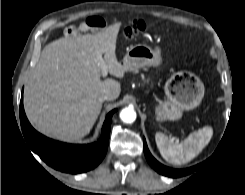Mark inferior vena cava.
<instances>
[{
    "instance_id": "inferior-vena-cava-1",
    "label": "inferior vena cava",
    "mask_w": 245,
    "mask_h": 195,
    "mask_svg": "<svg viewBox=\"0 0 245 195\" xmlns=\"http://www.w3.org/2000/svg\"><path fill=\"white\" fill-rule=\"evenodd\" d=\"M106 100H112V96L110 94H104V95L99 97V101L100 102H103V101H106Z\"/></svg>"
}]
</instances>
